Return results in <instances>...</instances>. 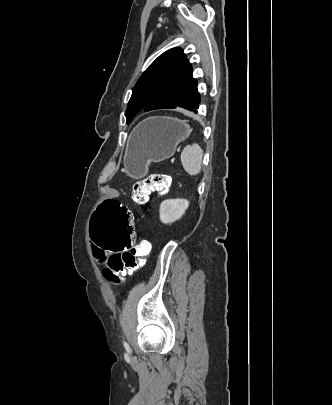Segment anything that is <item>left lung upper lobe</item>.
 <instances>
[{
    "instance_id": "1",
    "label": "left lung upper lobe",
    "mask_w": 332,
    "mask_h": 405,
    "mask_svg": "<svg viewBox=\"0 0 332 405\" xmlns=\"http://www.w3.org/2000/svg\"><path fill=\"white\" fill-rule=\"evenodd\" d=\"M199 102L191 65L182 49L172 48L161 54L142 74L133 88L125 115L129 123L141 110L181 107L190 111Z\"/></svg>"
}]
</instances>
